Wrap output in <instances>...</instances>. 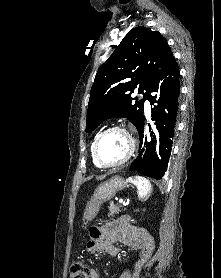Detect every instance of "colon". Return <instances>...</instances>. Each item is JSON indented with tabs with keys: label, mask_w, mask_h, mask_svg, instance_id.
Here are the masks:
<instances>
[{
	"label": "colon",
	"mask_w": 221,
	"mask_h": 278,
	"mask_svg": "<svg viewBox=\"0 0 221 278\" xmlns=\"http://www.w3.org/2000/svg\"><path fill=\"white\" fill-rule=\"evenodd\" d=\"M69 278H90V268L83 262H74L69 271Z\"/></svg>",
	"instance_id": "colon-1"
}]
</instances>
